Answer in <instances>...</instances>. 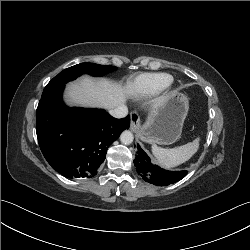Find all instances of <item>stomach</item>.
I'll list each match as a JSON object with an SVG mask.
<instances>
[{"label": "stomach", "instance_id": "0dacf381", "mask_svg": "<svg viewBox=\"0 0 250 250\" xmlns=\"http://www.w3.org/2000/svg\"><path fill=\"white\" fill-rule=\"evenodd\" d=\"M189 109L188 98L173 92L158 104L148 120L141 126L140 139L152 144H172L182 133L184 120Z\"/></svg>", "mask_w": 250, "mask_h": 250}]
</instances>
